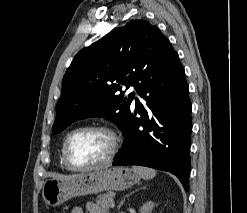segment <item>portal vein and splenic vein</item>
I'll use <instances>...</instances> for the list:
<instances>
[{
	"mask_svg": "<svg viewBox=\"0 0 247 213\" xmlns=\"http://www.w3.org/2000/svg\"><path fill=\"white\" fill-rule=\"evenodd\" d=\"M110 207H111V208H114V207H115V202H114V200H112V201L110 202Z\"/></svg>",
	"mask_w": 247,
	"mask_h": 213,
	"instance_id": "obj_1",
	"label": "portal vein and splenic vein"
}]
</instances>
